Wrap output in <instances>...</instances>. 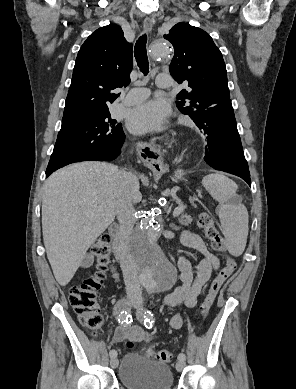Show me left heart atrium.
I'll return each mask as SVG.
<instances>
[{"label": "left heart atrium", "instance_id": "1", "mask_svg": "<svg viewBox=\"0 0 296 389\" xmlns=\"http://www.w3.org/2000/svg\"><path fill=\"white\" fill-rule=\"evenodd\" d=\"M170 112L169 104L162 99L147 101L128 112L127 127L135 134L159 130L166 124Z\"/></svg>", "mask_w": 296, "mask_h": 389}]
</instances>
